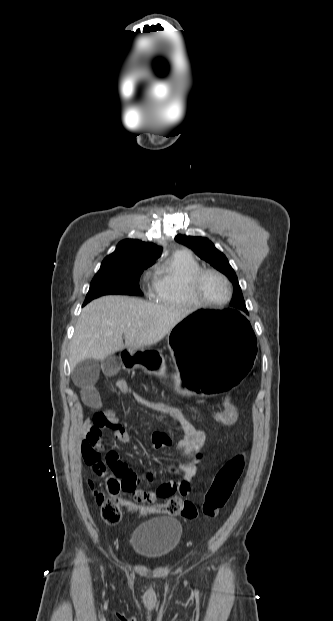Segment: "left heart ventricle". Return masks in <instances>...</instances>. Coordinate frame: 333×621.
Masks as SVG:
<instances>
[{
  "label": "left heart ventricle",
  "mask_w": 333,
  "mask_h": 621,
  "mask_svg": "<svg viewBox=\"0 0 333 621\" xmlns=\"http://www.w3.org/2000/svg\"><path fill=\"white\" fill-rule=\"evenodd\" d=\"M201 295L210 301H221L226 298L228 289L225 282L219 277L208 274L200 283Z\"/></svg>",
  "instance_id": "1"
}]
</instances>
